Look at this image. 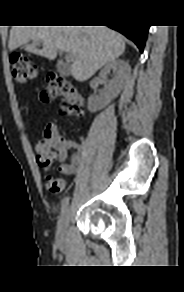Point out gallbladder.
<instances>
[{"mask_svg":"<svg viewBox=\"0 0 184 292\" xmlns=\"http://www.w3.org/2000/svg\"><path fill=\"white\" fill-rule=\"evenodd\" d=\"M57 70L64 76H68L70 74V67L63 64H57Z\"/></svg>","mask_w":184,"mask_h":292,"instance_id":"gallbladder-1","label":"gallbladder"}]
</instances>
